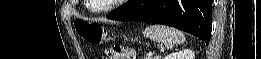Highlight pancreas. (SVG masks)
<instances>
[{
    "mask_svg": "<svg viewBox=\"0 0 261 59\" xmlns=\"http://www.w3.org/2000/svg\"><path fill=\"white\" fill-rule=\"evenodd\" d=\"M147 59H161L160 56H156V57H147Z\"/></svg>",
    "mask_w": 261,
    "mask_h": 59,
    "instance_id": "pancreas-1",
    "label": "pancreas"
}]
</instances>
